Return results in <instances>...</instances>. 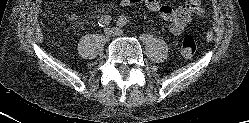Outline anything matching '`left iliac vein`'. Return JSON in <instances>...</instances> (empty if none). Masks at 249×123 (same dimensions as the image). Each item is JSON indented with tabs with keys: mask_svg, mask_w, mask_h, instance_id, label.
<instances>
[{
	"mask_svg": "<svg viewBox=\"0 0 249 123\" xmlns=\"http://www.w3.org/2000/svg\"><path fill=\"white\" fill-rule=\"evenodd\" d=\"M114 31H115V35H121L122 34V31L119 30V29H114Z\"/></svg>",
	"mask_w": 249,
	"mask_h": 123,
	"instance_id": "obj_1",
	"label": "left iliac vein"
}]
</instances>
